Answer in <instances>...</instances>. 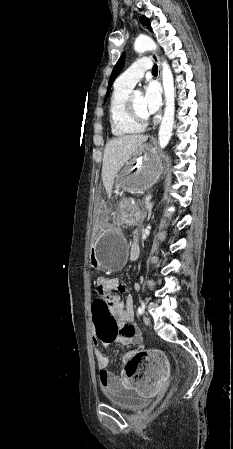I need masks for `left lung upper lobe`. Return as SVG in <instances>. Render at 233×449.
<instances>
[{
	"mask_svg": "<svg viewBox=\"0 0 233 449\" xmlns=\"http://www.w3.org/2000/svg\"><path fill=\"white\" fill-rule=\"evenodd\" d=\"M140 21H141V23L143 25H146L149 30H151L150 21H149V19L147 17H145V16L140 17ZM124 63H125V54H123L120 57V59L118 60L117 64L114 66V69L112 71L111 77L109 79L108 89H107V93H106L105 99L109 96L110 91H111L112 83L115 80V78L119 75L121 70L123 69Z\"/></svg>",
	"mask_w": 233,
	"mask_h": 449,
	"instance_id": "obj_1",
	"label": "left lung upper lobe"
}]
</instances>
